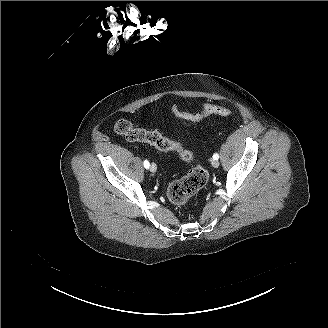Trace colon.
<instances>
[{"label":"colon","instance_id":"obj_1","mask_svg":"<svg viewBox=\"0 0 328 328\" xmlns=\"http://www.w3.org/2000/svg\"><path fill=\"white\" fill-rule=\"evenodd\" d=\"M173 113L186 121L197 123L211 115L229 116L230 109L217 104H206L197 113L185 111L175 104ZM115 130L129 141L148 143L162 151H174L179 154L183 161L193 160V154L183 149L179 143L162 136L156 131H150L135 127L129 120L122 118L117 121ZM208 181V172L201 165H195L184 177L172 182L167 189L170 202L175 206L184 205L195 193L203 188Z\"/></svg>","mask_w":328,"mask_h":328}]
</instances>
